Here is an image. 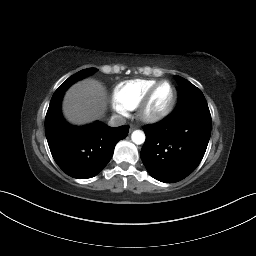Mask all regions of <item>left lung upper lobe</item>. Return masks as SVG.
<instances>
[{
    "label": "left lung upper lobe",
    "instance_id": "1",
    "mask_svg": "<svg viewBox=\"0 0 256 256\" xmlns=\"http://www.w3.org/2000/svg\"><path fill=\"white\" fill-rule=\"evenodd\" d=\"M175 77L179 90L178 103L175 110L191 105L208 106L206 99L199 88L180 76L176 75Z\"/></svg>",
    "mask_w": 256,
    "mask_h": 256
}]
</instances>
